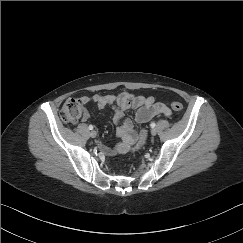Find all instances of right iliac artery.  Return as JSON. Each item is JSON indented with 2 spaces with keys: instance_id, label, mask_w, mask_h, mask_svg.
Here are the masks:
<instances>
[{
  "instance_id": "1",
  "label": "right iliac artery",
  "mask_w": 243,
  "mask_h": 243,
  "mask_svg": "<svg viewBox=\"0 0 243 243\" xmlns=\"http://www.w3.org/2000/svg\"><path fill=\"white\" fill-rule=\"evenodd\" d=\"M89 130H93V126L92 125H89Z\"/></svg>"
}]
</instances>
